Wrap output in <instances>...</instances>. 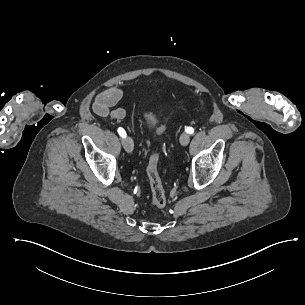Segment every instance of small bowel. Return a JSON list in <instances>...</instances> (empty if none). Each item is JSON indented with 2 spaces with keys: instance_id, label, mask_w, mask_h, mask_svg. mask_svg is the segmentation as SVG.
Listing matches in <instances>:
<instances>
[{
  "instance_id": "small-bowel-1",
  "label": "small bowel",
  "mask_w": 305,
  "mask_h": 305,
  "mask_svg": "<svg viewBox=\"0 0 305 305\" xmlns=\"http://www.w3.org/2000/svg\"><path fill=\"white\" fill-rule=\"evenodd\" d=\"M122 98V90L118 87L107 88L95 97L92 109L101 117H110L114 120H122L126 116V110L122 107L112 109Z\"/></svg>"
}]
</instances>
